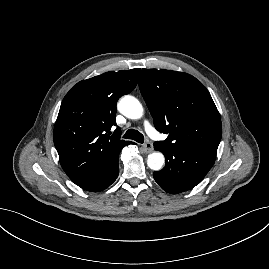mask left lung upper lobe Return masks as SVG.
I'll return each mask as SVG.
<instances>
[{
    "instance_id": "5c2ea615",
    "label": "left lung upper lobe",
    "mask_w": 269,
    "mask_h": 269,
    "mask_svg": "<svg viewBox=\"0 0 269 269\" xmlns=\"http://www.w3.org/2000/svg\"><path fill=\"white\" fill-rule=\"evenodd\" d=\"M141 94L160 132L158 146H182L217 152L222 136L219 112L205 86L182 72L142 69Z\"/></svg>"
}]
</instances>
